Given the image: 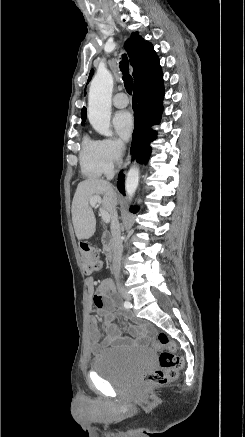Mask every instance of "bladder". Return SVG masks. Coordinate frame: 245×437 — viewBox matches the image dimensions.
Here are the masks:
<instances>
[{
    "mask_svg": "<svg viewBox=\"0 0 245 437\" xmlns=\"http://www.w3.org/2000/svg\"><path fill=\"white\" fill-rule=\"evenodd\" d=\"M154 363L150 348L123 350L112 348L97 355L91 362L94 372L115 385H125Z\"/></svg>",
    "mask_w": 245,
    "mask_h": 437,
    "instance_id": "obj_1",
    "label": "bladder"
}]
</instances>
